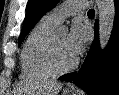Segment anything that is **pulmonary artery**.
Wrapping results in <instances>:
<instances>
[{
    "mask_svg": "<svg viewBox=\"0 0 119 95\" xmlns=\"http://www.w3.org/2000/svg\"><path fill=\"white\" fill-rule=\"evenodd\" d=\"M87 7V1L69 0L48 12L45 17L56 24H60L68 16L83 11Z\"/></svg>",
    "mask_w": 119,
    "mask_h": 95,
    "instance_id": "pulmonary-artery-1",
    "label": "pulmonary artery"
}]
</instances>
